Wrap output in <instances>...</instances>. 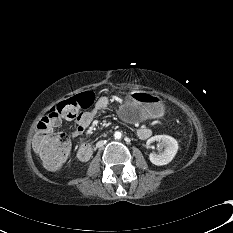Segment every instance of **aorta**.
I'll list each match as a JSON object with an SVG mask.
<instances>
[{
    "label": "aorta",
    "instance_id": "aorta-1",
    "mask_svg": "<svg viewBox=\"0 0 233 233\" xmlns=\"http://www.w3.org/2000/svg\"><path fill=\"white\" fill-rule=\"evenodd\" d=\"M121 132H119V131H116L115 133H114V138L115 139H120L121 138Z\"/></svg>",
    "mask_w": 233,
    "mask_h": 233
}]
</instances>
